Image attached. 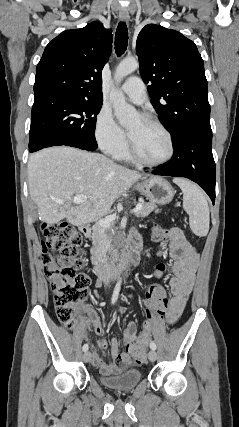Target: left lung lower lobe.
Here are the masks:
<instances>
[{
    "instance_id": "0a47b994",
    "label": "left lung lower lobe",
    "mask_w": 239,
    "mask_h": 427,
    "mask_svg": "<svg viewBox=\"0 0 239 427\" xmlns=\"http://www.w3.org/2000/svg\"><path fill=\"white\" fill-rule=\"evenodd\" d=\"M173 149L172 159L152 174L188 178L199 184L214 204L216 168L212 155V132H186L173 144Z\"/></svg>"
}]
</instances>
